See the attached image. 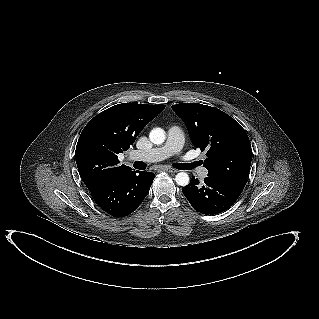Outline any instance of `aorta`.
<instances>
[{"label": "aorta", "instance_id": "1", "mask_svg": "<svg viewBox=\"0 0 319 319\" xmlns=\"http://www.w3.org/2000/svg\"><path fill=\"white\" fill-rule=\"evenodd\" d=\"M165 138V131L159 127L152 129L149 134L150 141L157 145L162 144L165 141ZM175 180L178 185L186 186L189 184V175L186 172L177 173Z\"/></svg>", "mask_w": 319, "mask_h": 319}]
</instances>
